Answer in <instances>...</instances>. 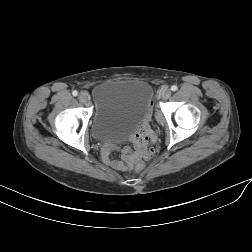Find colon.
<instances>
[{
    "label": "colon",
    "instance_id": "colon-1",
    "mask_svg": "<svg viewBox=\"0 0 252 252\" xmlns=\"http://www.w3.org/2000/svg\"><path fill=\"white\" fill-rule=\"evenodd\" d=\"M152 155H153V150H151L149 153L146 154V159H151ZM144 166H145V164L143 161H138L135 164V170L141 171L144 168Z\"/></svg>",
    "mask_w": 252,
    "mask_h": 252
}]
</instances>
